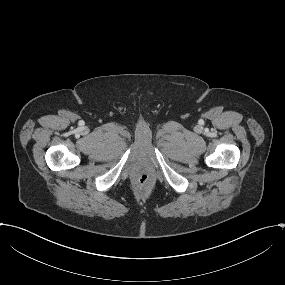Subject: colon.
Returning <instances> with one entry per match:
<instances>
[{"instance_id": "colon-1", "label": "colon", "mask_w": 285, "mask_h": 285, "mask_svg": "<svg viewBox=\"0 0 285 285\" xmlns=\"http://www.w3.org/2000/svg\"><path fill=\"white\" fill-rule=\"evenodd\" d=\"M135 183L139 189H149L152 187L154 181L148 172L141 171L138 173Z\"/></svg>"}]
</instances>
